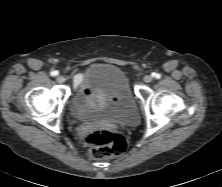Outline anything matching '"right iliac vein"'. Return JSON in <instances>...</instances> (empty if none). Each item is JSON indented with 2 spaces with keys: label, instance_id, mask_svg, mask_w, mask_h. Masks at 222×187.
<instances>
[{
  "label": "right iliac vein",
  "instance_id": "right-iliac-vein-1",
  "mask_svg": "<svg viewBox=\"0 0 222 187\" xmlns=\"http://www.w3.org/2000/svg\"><path fill=\"white\" fill-rule=\"evenodd\" d=\"M56 81H57L58 83H63V82L65 81V78H64V76H62V75H58V76L56 77Z\"/></svg>",
  "mask_w": 222,
  "mask_h": 187
}]
</instances>
